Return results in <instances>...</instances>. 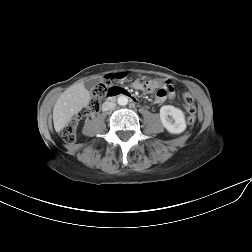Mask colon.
<instances>
[{
  "label": "colon",
  "instance_id": "1",
  "mask_svg": "<svg viewBox=\"0 0 252 252\" xmlns=\"http://www.w3.org/2000/svg\"><path fill=\"white\" fill-rule=\"evenodd\" d=\"M124 77V73H115L108 74L102 79V81L94 88L88 105L81 109L75 117L62 127L61 137L65 142L72 143L75 141L79 121L97 112L100 109L101 101L105 97H108L113 92L122 90L121 88L114 86L113 83L115 80H121ZM140 82L144 88H149L148 81L140 80ZM183 103L188 112V122L193 124L196 121V106L193 97L190 94L185 93L183 95Z\"/></svg>",
  "mask_w": 252,
  "mask_h": 252
}]
</instances>
